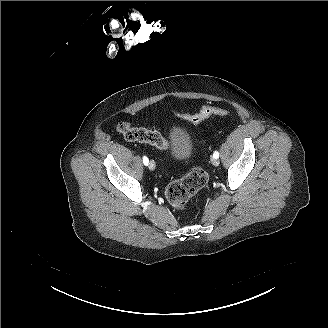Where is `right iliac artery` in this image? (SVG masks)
I'll return each instance as SVG.
<instances>
[{
    "mask_svg": "<svg viewBox=\"0 0 328 328\" xmlns=\"http://www.w3.org/2000/svg\"><path fill=\"white\" fill-rule=\"evenodd\" d=\"M143 163H144V165H148V163H149V160L146 156L143 157Z\"/></svg>",
    "mask_w": 328,
    "mask_h": 328,
    "instance_id": "82829eb1",
    "label": "right iliac artery"
}]
</instances>
